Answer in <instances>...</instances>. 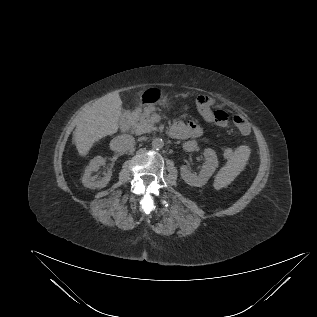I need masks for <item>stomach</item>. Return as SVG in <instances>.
Listing matches in <instances>:
<instances>
[{
  "label": "stomach",
  "instance_id": "stomach-1",
  "mask_svg": "<svg viewBox=\"0 0 317 317\" xmlns=\"http://www.w3.org/2000/svg\"><path fill=\"white\" fill-rule=\"evenodd\" d=\"M167 96L158 88H148L141 92L139 104L145 107H153L166 102Z\"/></svg>",
  "mask_w": 317,
  "mask_h": 317
}]
</instances>
